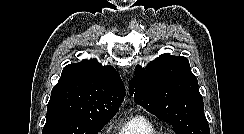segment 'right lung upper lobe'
Masks as SVG:
<instances>
[{
  "mask_svg": "<svg viewBox=\"0 0 244 134\" xmlns=\"http://www.w3.org/2000/svg\"><path fill=\"white\" fill-rule=\"evenodd\" d=\"M125 97L123 82L112 66L83 60L64 67L47 109L77 116H114Z\"/></svg>",
  "mask_w": 244,
  "mask_h": 134,
  "instance_id": "cb5924a9",
  "label": "right lung upper lobe"
}]
</instances>
